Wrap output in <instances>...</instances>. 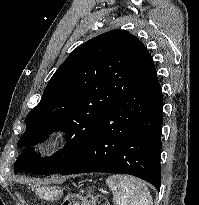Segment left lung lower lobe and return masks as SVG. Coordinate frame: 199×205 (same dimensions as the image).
<instances>
[{"label":"left lung lower lobe","mask_w":199,"mask_h":205,"mask_svg":"<svg viewBox=\"0 0 199 205\" xmlns=\"http://www.w3.org/2000/svg\"><path fill=\"white\" fill-rule=\"evenodd\" d=\"M163 96L144 46L126 91L103 117L82 154L59 174L123 173L161 186Z\"/></svg>","instance_id":"left-lung-lower-lobe-1"}]
</instances>
